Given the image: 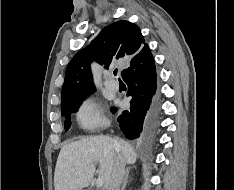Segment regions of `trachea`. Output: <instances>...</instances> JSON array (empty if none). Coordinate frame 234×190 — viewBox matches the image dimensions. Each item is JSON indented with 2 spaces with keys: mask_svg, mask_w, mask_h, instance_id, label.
<instances>
[{
  "mask_svg": "<svg viewBox=\"0 0 234 190\" xmlns=\"http://www.w3.org/2000/svg\"><path fill=\"white\" fill-rule=\"evenodd\" d=\"M117 72H118V70L115 69L114 72H113V74L116 76V75H117Z\"/></svg>",
  "mask_w": 234,
  "mask_h": 190,
  "instance_id": "obj_1",
  "label": "trachea"
}]
</instances>
